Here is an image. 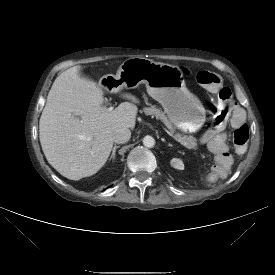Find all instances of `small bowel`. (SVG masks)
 Masks as SVG:
<instances>
[{
    "label": "small bowel",
    "mask_w": 275,
    "mask_h": 275,
    "mask_svg": "<svg viewBox=\"0 0 275 275\" xmlns=\"http://www.w3.org/2000/svg\"><path fill=\"white\" fill-rule=\"evenodd\" d=\"M244 125H246L245 112L236 106L232 114L231 126L236 130ZM198 141L214 156L212 165L206 170V179L213 184L219 183L227 176L228 168L233 163L231 154L226 151L229 145L228 139L223 134L206 130L199 135Z\"/></svg>",
    "instance_id": "c3829d8e"
}]
</instances>
